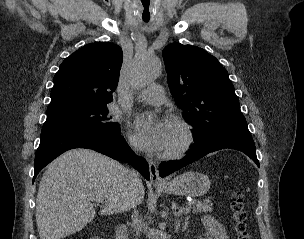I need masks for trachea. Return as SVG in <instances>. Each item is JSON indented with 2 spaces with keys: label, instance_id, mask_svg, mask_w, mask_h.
Wrapping results in <instances>:
<instances>
[{
  "label": "trachea",
  "instance_id": "1",
  "mask_svg": "<svg viewBox=\"0 0 304 239\" xmlns=\"http://www.w3.org/2000/svg\"><path fill=\"white\" fill-rule=\"evenodd\" d=\"M152 0H140V13L144 23H147L152 18L151 9Z\"/></svg>",
  "mask_w": 304,
  "mask_h": 239
}]
</instances>
